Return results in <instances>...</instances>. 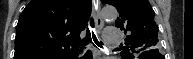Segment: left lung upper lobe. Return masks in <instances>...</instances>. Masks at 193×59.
<instances>
[{"mask_svg":"<svg viewBox=\"0 0 193 59\" xmlns=\"http://www.w3.org/2000/svg\"><path fill=\"white\" fill-rule=\"evenodd\" d=\"M115 6L119 12L115 26L129 32L125 38V50L139 54L158 47V27L154 22V11L148 0H102ZM158 50V49H157ZM132 53H123V58H134Z\"/></svg>","mask_w":193,"mask_h":59,"instance_id":"obj_1","label":"left lung upper lobe"}]
</instances>
